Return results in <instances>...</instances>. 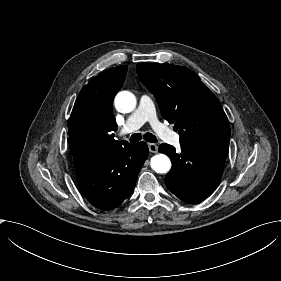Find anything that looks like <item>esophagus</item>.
<instances>
[{
  "mask_svg": "<svg viewBox=\"0 0 281 281\" xmlns=\"http://www.w3.org/2000/svg\"><path fill=\"white\" fill-rule=\"evenodd\" d=\"M148 149L150 150V152L152 153H157L158 151V146L154 143H148Z\"/></svg>",
  "mask_w": 281,
  "mask_h": 281,
  "instance_id": "1",
  "label": "esophagus"
}]
</instances>
